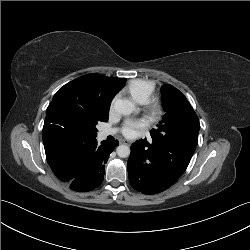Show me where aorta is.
I'll return each mask as SVG.
<instances>
[{
    "mask_svg": "<svg viewBox=\"0 0 250 250\" xmlns=\"http://www.w3.org/2000/svg\"><path fill=\"white\" fill-rule=\"evenodd\" d=\"M114 109L120 115H129L135 110V105L127 99H118L114 103ZM116 151L121 158L130 155V148L127 145H119Z\"/></svg>",
    "mask_w": 250,
    "mask_h": 250,
    "instance_id": "obj_1",
    "label": "aorta"
}]
</instances>
